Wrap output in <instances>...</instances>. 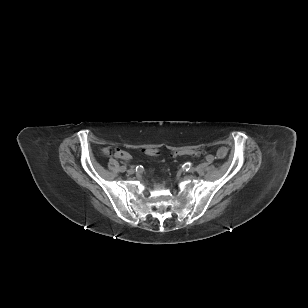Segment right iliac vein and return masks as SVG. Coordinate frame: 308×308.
Wrapping results in <instances>:
<instances>
[{
  "label": "right iliac vein",
  "instance_id": "right-iliac-vein-1",
  "mask_svg": "<svg viewBox=\"0 0 308 308\" xmlns=\"http://www.w3.org/2000/svg\"><path fill=\"white\" fill-rule=\"evenodd\" d=\"M127 172H128V174H133L135 171H134V169H129Z\"/></svg>",
  "mask_w": 308,
  "mask_h": 308
}]
</instances>
